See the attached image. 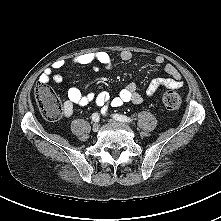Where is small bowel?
Instances as JSON below:
<instances>
[{
  "label": "small bowel",
  "instance_id": "1",
  "mask_svg": "<svg viewBox=\"0 0 221 221\" xmlns=\"http://www.w3.org/2000/svg\"><path fill=\"white\" fill-rule=\"evenodd\" d=\"M119 58L122 61H130L133 55L130 51L124 50L119 53ZM155 62L159 65L165 62L162 56H157ZM72 65H91L95 64L94 70H98L97 65H103L110 68L112 65V57L107 51L99 50L95 52L82 53L71 59ZM65 66L64 60H58L53 64L54 70H59ZM165 72L169 75L168 78H156L152 80L146 89L147 96H153L161 87L169 89H179L183 86V81L180 72L177 68L168 63L165 65ZM53 81L57 84L63 81V76L60 73H54L52 69H46L39 77V82L48 83ZM143 97L137 91L134 83H129L125 88L121 89L118 94L112 96L107 92H90L83 94L78 88L72 87L67 92V100L63 104V113L66 117H70L75 109V106H87L94 103L102 108V113L107 112L109 106L118 108L125 103L140 104Z\"/></svg>",
  "mask_w": 221,
  "mask_h": 221
}]
</instances>
